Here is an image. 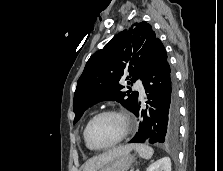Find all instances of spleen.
<instances>
[{
	"mask_svg": "<svg viewBox=\"0 0 223 171\" xmlns=\"http://www.w3.org/2000/svg\"><path fill=\"white\" fill-rule=\"evenodd\" d=\"M134 148L140 157L147 160L151 159L154 154L153 148L145 144H135Z\"/></svg>",
	"mask_w": 223,
	"mask_h": 171,
	"instance_id": "spleen-1",
	"label": "spleen"
}]
</instances>
